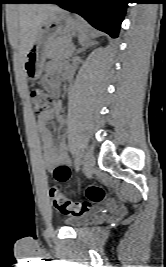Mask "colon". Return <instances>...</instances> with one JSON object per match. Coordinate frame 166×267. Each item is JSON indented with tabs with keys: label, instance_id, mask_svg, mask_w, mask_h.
I'll list each match as a JSON object with an SVG mask.
<instances>
[{
	"label": "colon",
	"instance_id": "obj_1",
	"mask_svg": "<svg viewBox=\"0 0 166 267\" xmlns=\"http://www.w3.org/2000/svg\"><path fill=\"white\" fill-rule=\"evenodd\" d=\"M30 97L33 109L37 113H42L48 110L54 104V96L41 87H33L30 91ZM70 176V171L59 169L55 173V178L59 182H64ZM50 197L54 208L64 215L78 216L86 214L91 203L101 202L105 197V191L96 185H92L87 189V197L89 201H72L68 199L60 190L59 186L53 185L49 190Z\"/></svg>",
	"mask_w": 166,
	"mask_h": 267
}]
</instances>
